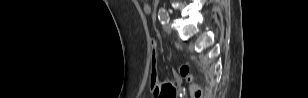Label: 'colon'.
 Masks as SVG:
<instances>
[{
    "label": "colon",
    "instance_id": "obj_1",
    "mask_svg": "<svg viewBox=\"0 0 308 98\" xmlns=\"http://www.w3.org/2000/svg\"><path fill=\"white\" fill-rule=\"evenodd\" d=\"M180 75L189 83L192 98H203L202 88L194 81V77L188 65H181ZM150 88L156 98H174L176 89L170 80L159 81L158 78V54L154 47L151 58V83Z\"/></svg>",
    "mask_w": 308,
    "mask_h": 98
}]
</instances>
